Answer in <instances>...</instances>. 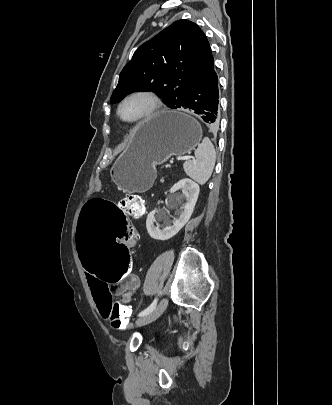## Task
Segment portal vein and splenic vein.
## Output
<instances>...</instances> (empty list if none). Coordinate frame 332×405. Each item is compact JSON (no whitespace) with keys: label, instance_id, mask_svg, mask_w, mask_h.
<instances>
[{"label":"portal vein and splenic vein","instance_id":"1","mask_svg":"<svg viewBox=\"0 0 332 405\" xmlns=\"http://www.w3.org/2000/svg\"><path fill=\"white\" fill-rule=\"evenodd\" d=\"M177 159H178V160H189L190 157H178Z\"/></svg>","mask_w":332,"mask_h":405}]
</instances>
